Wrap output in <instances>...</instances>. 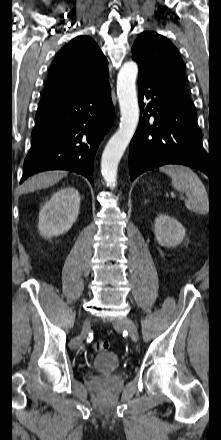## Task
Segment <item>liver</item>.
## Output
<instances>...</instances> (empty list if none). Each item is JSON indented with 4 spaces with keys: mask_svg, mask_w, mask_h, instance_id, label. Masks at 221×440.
<instances>
[{
    "mask_svg": "<svg viewBox=\"0 0 221 440\" xmlns=\"http://www.w3.org/2000/svg\"><path fill=\"white\" fill-rule=\"evenodd\" d=\"M66 175V171H48L39 173L28 179L22 185V192H33L41 188H47L57 183Z\"/></svg>",
    "mask_w": 221,
    "mask_h": 440,
    "instance_id": "liver-1",
    "label": "liver"
}]
</instances>
